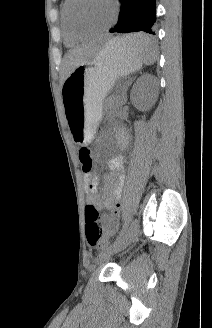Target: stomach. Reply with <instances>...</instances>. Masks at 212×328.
<instances>
[{"label": "stomach", "instance_id": "1", "mask_svg": "<svg viewBox=\"0 0 212 328\" xmlns=\"http://www.w3.org/2000/svg\"><path fill=\"white\" fill-rule=\"evenodd\" d=\"M144 55V51L118 45L113 38L92 61L80 64L65 79L62 93L67 124L77 144L92 140L105 97L118 78L141 68Z\"/></svg>", "mask_w": 212, "mask_h": 328}]
</instances>
